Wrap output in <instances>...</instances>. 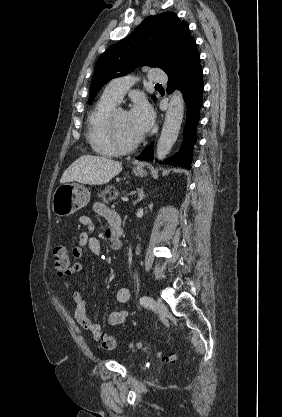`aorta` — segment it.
Listing matches in <instances>:
<instances>
[{
    "label": "aorta",
    "mask_w": 282,
    "mask_h": 417,
    "mask_svg": "<svg viewBox=\"0 0 282 417\" xmlns=\"http://www.w3.org/2000/svg\"><path fill=\"white\" fill-rule=\"evenodd\" d=\"M184 116V98L180 90H176L170 98L165 114L163 128L157 142L156 156L159 160L166 158L179 134Z\"/></svg>",
    "instance_id": "obj_1"
}]
</instances>
